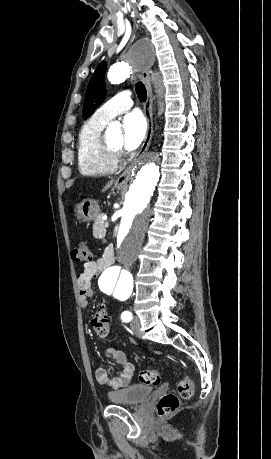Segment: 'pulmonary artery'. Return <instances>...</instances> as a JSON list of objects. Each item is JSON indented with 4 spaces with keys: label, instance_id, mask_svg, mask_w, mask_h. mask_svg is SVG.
I'll list each match as a JSON object with an SVG mask.
<instances>
[{
    "label": "pulmonary artery",
    "instance_id": "obj_1",
    "mask_svg": "<svg viewBox=\"0 0 271 459\" xmlns=\"http://www.w3.org/2000/svg\"><path fill=\"white\" fill-rule=\"evenodd\" d=\"M129 90H122L120 95H114L112 99L104 103L95 113L94 117L101 122L107 123L117 114L128 111L135 106V99L130 98Z\"/></svg>",
    "mask_w": 271,
    "mask_h": 459
}]
</instances>
